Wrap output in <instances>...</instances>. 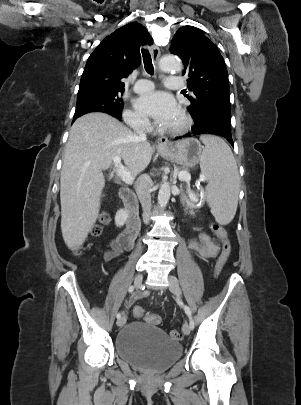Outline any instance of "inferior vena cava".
I'll return each mask as SVG.
<instances>
[{"label":"inferior vena cava","mask_w":301,"mask_h":405,"mask_svg":"<svg viewBox=\"0 0 301 405\" xmlns=\"http://www.w3.org/2000/svg\"><path fill=\"white\" fill-rule=\"evenodd\" d=\"M146 121L137 120L133 124V129L138 134L140 140L146 141V132H145ZM151 179L147 174H142L137 180L136 193L140 200L142 209H143V220L145 223L149 222V216L151 211Z\"/></svg>","instance_id":"obj_1"}]
</instances>
